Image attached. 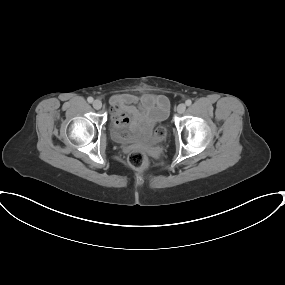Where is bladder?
<instances>
[{
  "mask_svg": "<svg viewBox=\"0 0 285 285\" xmlns=\"http://www.w3.org/2000/svg\"><path fill=\"white\" fill-rule=\"evenodd\" d=\"M167 117V113L163 112L160 121H164ZM113 137L119 142H148L153 140L154 136L151 132L138 129L128 130L126 127L121 125H112Z\"/></svg>",
  "mask_w": 285,
  "mask_h": 285,
  "instance_id": "1",
  "label": "bladder"
}]
</instances>
